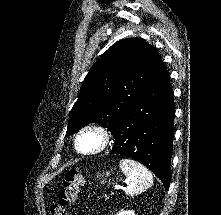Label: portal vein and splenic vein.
I'll list each match as a JSON object with an SVG mask.
<instances>
[{"label":"portal vein and splenic vein","instance_id":"portal-vein-and-splenic-vein-1","mask_svg":"<svg viewBox=\"0 0 221 215\" xmlns=\"http://www.w3.org/2000/svg\"><path fill=\"white\" fill-rule=\"evenodd\" d=\"M125 183H128V180H126ZM123 188H124L123 186L117 185V186H115L114 190L117 191V190H120V189H123Z\"/></svg>","mask_w":221,"mask_h":215}]
</instances>
